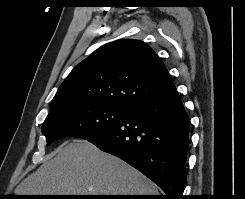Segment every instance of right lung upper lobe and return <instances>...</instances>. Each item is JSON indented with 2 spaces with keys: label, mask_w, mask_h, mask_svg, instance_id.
Returning <instances> with one entry per match:
<instances>
[{
  "label": "right lung upper lobe",
  "mask_w": 245,
  "mask_h": 199,
  "mask_svg": "<svg viewBox=\"0 0 245 199\" xmlns=\"http://www.w3.org/2000/svg\"><path fill=\"white\" fill-rule=\"evenodd\" d=\"M174 90L166 67L146 43L121 39L103 45L74 67L54 96L50 113L83 103L129 110Z\"/></svg>",
  "instance_id": "1"
}]
</instances>
